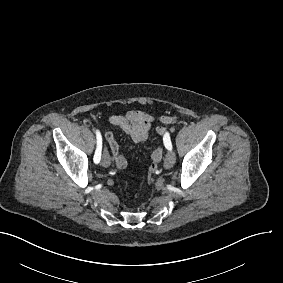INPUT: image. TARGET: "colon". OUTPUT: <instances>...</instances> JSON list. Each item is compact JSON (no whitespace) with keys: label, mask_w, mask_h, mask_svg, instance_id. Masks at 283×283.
I'll use <instances>...</instances> for the list:
<instances>
[{"label":"colon","mask_w":283,"mask_h":283,"mask_svg":"<svg viewBox=\"0 0 283 283\" xmlns=\"http://www.w3.org/2000/svg\"><path fill=\"white\" fill-rule=\"evenodd\" d=\"M162 154V150L156 149L152 154H151V161L149 165V170H148V183L149 185H152L158 175V164L160 161V157Z\"/></svg>","instance_id":"obj_1"}]
</instances>
